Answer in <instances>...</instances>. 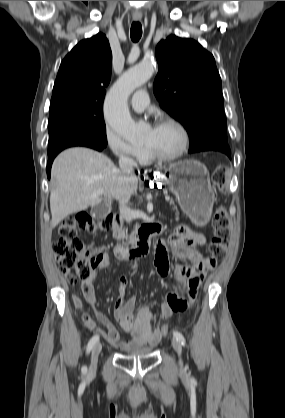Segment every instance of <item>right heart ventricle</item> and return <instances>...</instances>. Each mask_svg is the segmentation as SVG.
I'll list each match as a JSON object with an SVG mask.
<instances>
[{"label": "right heart ventricle", "mask_w": 285, "mask_h": 418, "mask_svg": "<svg viewBox=\"0 0 285 418\" xmlns=\"http://www.w3.org/2000/svg\"><path fill=\"white\" fill-rule=\"evenodd\" d=\"M140 160L143 162H148L150 158L146 154H143L140 156Z\"/></svg>", "instance_id": "right-heart-ventricle-1"}]
</instances>
